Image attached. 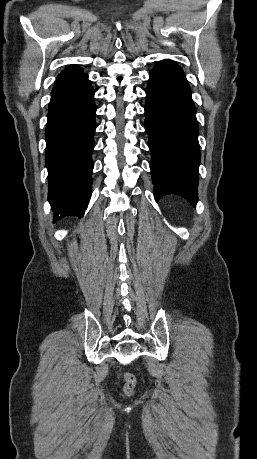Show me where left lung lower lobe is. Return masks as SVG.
Returning <instances> with one entry per match:
<instances>
[{"mask_svg": "<svg viewBox=\"0 0 257 459\" xmlns=\"http://www.w3.org/2000/svg\"><path fill=\"white\" fill-rule=\"evenodd\" d=\"M145 115L155 199L176 194L195 206L198 201L199 129L190 87L175 62L163 60L151 70Z\"/></svg>", "mask_w": 257, "mask_h": 459, "instance_id": "0a47b994", "label": "left lung lower lobe"}]
</instances>
